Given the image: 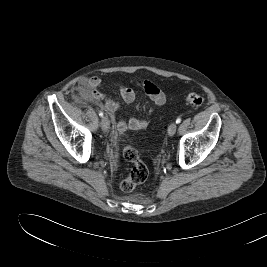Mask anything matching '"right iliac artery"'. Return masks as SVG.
<instances>
[{"mask_svg":"<svg viewBox=\"0 0 267 267\" xmlns=\"http://www.w3.org/2000/svg\"><path fill=\"white\" fill-rule=\"evenodd\" d=\"M103 115H104L103 112L100 111V112H99V116L103 117Z\"/></svg>","mask_w":267,"mask_h":267,"instance_id":"right-iliac-artery-1","label":"right iliac artery"}]
</instances>
